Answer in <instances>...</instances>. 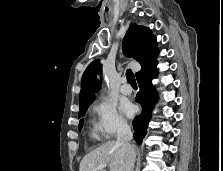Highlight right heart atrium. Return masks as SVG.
<instances>
[{"mask_svg":"<svg viewBox=\"0 0 223 171\" xmlns=\"http://www.w3.org/2000/svg\"><path fill=\"white\" fill-rule=\"evenodd\" d=\"M94 116L93 129L102 139H110L128 129V124L116 105L107 99L97 100L91 107Z\"/></svg>","mask_w":223,"mask_h":171,"instance_id":"1","label":"right heart atrium"}]
</instances>
